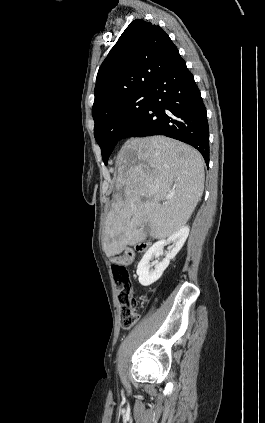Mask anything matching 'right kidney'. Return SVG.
I'll list each match as a JSON object with an SVG mask.
<instances>
[{
	"label": "right kidney",
	"mask_w": 265,
	"mask_h": 423,
	"mask_svg": "<svg viewBox=\"0 0 265 423\" xmlns=\"http://www.w3.org/2000/svg\"><path fill=\"white\" fill-rule=\"evenodd\" d=\"M189 231L188 226H183L178 231L170 235L167 240H160L147 250L137 267V275L139 276L138 280L142 286H149L162 276L164 270L168 267L170 260H172L183 247L189 235ZM165 245L169 246L163 261H155L151 264L150 261L152 258L159 257ZM153 265L155 266L154 270H150Z\"/></svg>",
	"instance_id": "right-kidney-1"
}]
</instances>
